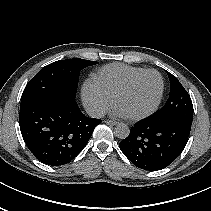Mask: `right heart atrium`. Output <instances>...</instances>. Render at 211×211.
<instances>
[{
	"label": "right heart atrium",
	"instance_id": "right-heart-atrium-1",
	"mask_svg": "<svg viewBox=\"0 0 211 211\" xmlns=\"http://www.w3.org/2000/svg\"><path fill=\"white\" fill-rule=\"evenodd\" d=\"M82 99L91 113L101 115L111 103L112 96L93 79H89L82 87Z\"/></svg>",
	"mask_w": 211,
	"mask_h": 211
}]
</instances>
